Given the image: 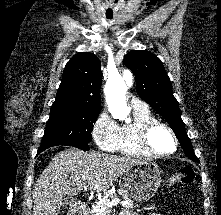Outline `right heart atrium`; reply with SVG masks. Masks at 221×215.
Returning <instances> with one entry per match:
<instances>
[{"mask_svg": "<svg viewBox=\"0 0 221 215\" xmlns=\"http://www.w3.org/2000/svg\"><path fill=\"white\" fill-rule=\"evenodd\" d=\"M120 126L103 111L101 112L92 127V137L99 149L107 152H114L117 149Z\"/></svg>", "mask_w": 221, "mask_h": 215, "instance_id": "right-heart-atrium-1", "label": "right heart atrium"}]
</instances>
